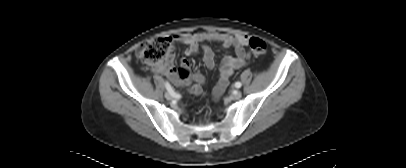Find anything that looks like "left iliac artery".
Returning a JSON list of instances; mask_svg holds the SVG:
<instances>
[{
  "mask_svg": "<svg viewBox=\"0 0 406 168\" xmlns=\"http://www.w3.org/2000/svg\"><path fill=\"white\" fill-rule=\"evenodd\" d=\"M241 86H242V84H241L240 82H236V83H235V87H236V88H240Z\"/></svg>",
  "mask_w": 406,
  "mask_h": 168,
  "instance_id": "44dca946",
  "label": "left iliac artery"
}]
</instances>
